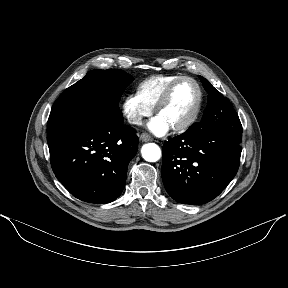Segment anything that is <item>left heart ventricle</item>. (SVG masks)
<instances>
[{
  "label": "left heart ventricle",
  "instance_id": "b2bd125f",
  "mask_svg": "<svg viewBox=\"0 0 288 288\" xmlns=\"http://www.w3.org/2000/svg\"><path fill=\"white\" fill-rule=\"evenodd\" d=\"M197 96V89L191 81H181L173 90L168 103L160 110L158 116L170 127L184 122L193 112Z\"/></svg>",
  "mask_w": 288,
  "mask_h": 288
}]
</instances>
